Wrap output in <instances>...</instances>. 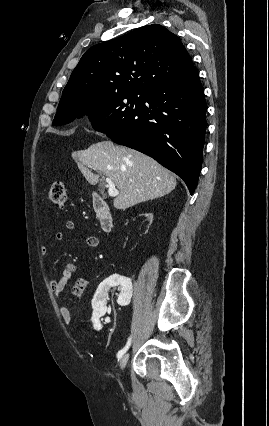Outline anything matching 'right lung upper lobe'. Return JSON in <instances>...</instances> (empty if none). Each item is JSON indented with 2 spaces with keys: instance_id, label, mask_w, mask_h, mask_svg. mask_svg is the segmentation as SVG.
Here are the masks:
<instances>
[{
  "instance_id": "obj_1",
  "label": "right lung upper lobe",
  "mask_w": 269,
  "mask_h": 426,
  "mask_svg": "<svg viewBox=\"0 0 269 426\" xmlns=\"http://www.w3.org/2000/svg\"><path fill=\"white\" fill-rule=\"evenodd\" d=\"M193 68L175 34L158 24L147 25L88 49L61 98L146 93Z\"/></svg>"
}]
</instances>
